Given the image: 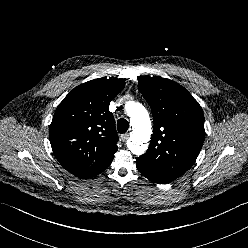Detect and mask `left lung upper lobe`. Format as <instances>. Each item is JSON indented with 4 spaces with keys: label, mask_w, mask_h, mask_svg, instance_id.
<instances>
[{
    "label": "left lung upper lobe",
    "mask_w": 248,
    "mask_h": 248,
    "mask_svg": "<svg viewBox=\"0 0 248 248\" xmlns=\"http://www.w3.org/2000/svg\"><path fill=\"white\" fill-rule=\"evenodd\" d=\"M138 88L151 107L154 127L147 152L137 160L151 173L173 181L199 155L205 138L203 111L192 95L172 80L142 77Z\"/></svg>",
    "instance_id": "5c2ea615"
}]
</instances>
